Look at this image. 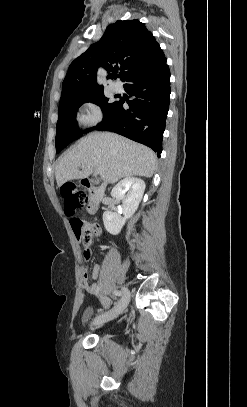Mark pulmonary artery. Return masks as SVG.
I'll list each match as a JSON object with an SVG mask.
<instances>
[{"label": "pulmonary artery", "mask_w": 247, "mask_h": 407, "mask_svg": "<svg viewBox=\"0 0 247 407\" xmlns=\"http://www.w3.org/2000/svg\"><path fill=\"white\" fill-rule=\"evenodd\" d=\"M113 89H114V91H115L116 93H119V92L122 91V86H121V84H119V83H115V84L113 85Z\"/></svg>", "instance_id": "1"}]
</instances>
